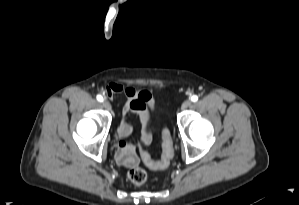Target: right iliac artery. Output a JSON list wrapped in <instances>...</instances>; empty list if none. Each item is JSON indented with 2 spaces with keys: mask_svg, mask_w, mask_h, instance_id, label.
<instances>
[{
  "mask_svg": "<svg viewBox=\"0 0 299 205\" xmlns=\"http://www.w3.org/2000/svg\"><path fill=\"white\" fill-rule=\"evenodd\" d=\"M97 100L99 101V102H102L103 101V97L101 96V95H97Z\"/></svg>",
  "mask_w": 299,
  "mask_h": 205,
  "instance_id": "1",
  "label": "right iliac artery"
}]
</instances>
